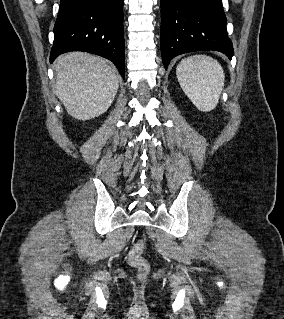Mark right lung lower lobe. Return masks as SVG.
Segmentation results:
<instances>
[{"mask_svg": "<svg viewBox=\"0 0 284 319\" xmlns=\"http://www.w3.org/2000/svg\"><path fill=\"white\" fill-rule=\"evenodd\" d=\"M68 51L105 57L124 78L123 0H61L50 62Z\"/></svg>", "mask_w": 284, "mask_h": 319, "instance_id": "right-lung-lower-lobe-1", "label": "right lung lower lobe"}]
</instances>
